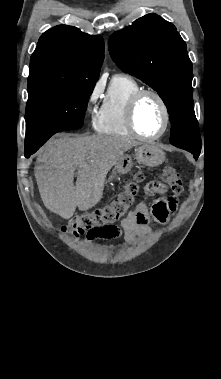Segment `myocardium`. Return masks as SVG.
<instances>
[{"label": "myocardium", "mask_w": 221, "mask_h": 379, "mask_svg": "<svg viewBox=\"0 0 221 379\" xmlns=\"http://www.w3.org/2000/svg\"><path fill=\"white\" fill-rule=\"evenodd\" d=\"M147 95H151L154 98H156V100L159 102L162 108L163 115H164L163 127L161 131L154 136H145L141 134L136 126L135 118H136L137 106L139 102L142 100V98ZM126 120H127V125H128L129 130L134 136L145 141H155V140L160 139L167 132L169 124H170V112H169V108L165 99L162 97V95L159 92L152 89H140L128 101L127 109H126Z\"/></svg>", "instance_id": "myocardium-1"}]
</instances>
